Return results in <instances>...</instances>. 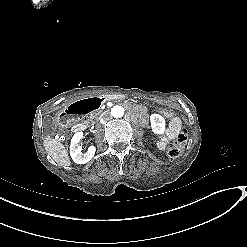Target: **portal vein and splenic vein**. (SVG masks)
Returning <instances> with one entry per match:
<instances>
[{"mask_svg":"<svg viewBox=\"0 0 247 247\" xmlns=\"http://www.w3.org/2000/svg\"><path fill=\"white\" fill-rule=\"evenodd\" d=\"M101 109H106V106H101Z\"/></svg>","mask_w":247,"mask_h":247,"instance_id":"18ae733b","label":"portal vein and splenic vein"}]
</instances>
